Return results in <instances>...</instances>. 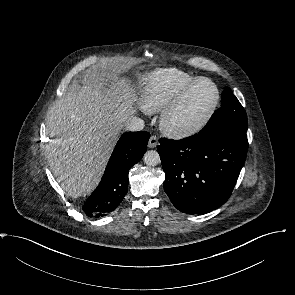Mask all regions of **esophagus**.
Returning a JSON list of instances; mask_svg holds the SVG:
<instances>
[{
  "label": "esophagus",
  "mask_w": 295,
  "mask_h": 295,
  "mask_svg": "<svg viewBox=\"0 0 295 295\" xmlns=\"http://www.w3.org/2000/svg\"><path fill=\"white\" fill-rule=\"evenodd\" d=\"M158 145V138L155 135H152L148 142L149 148H155Z\"/></svg>",
  "instance_id": "1"
}]
</instances>
